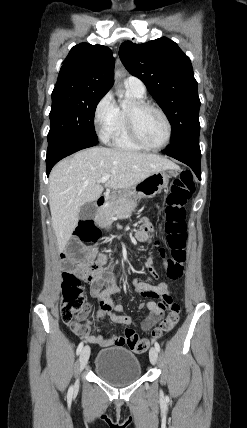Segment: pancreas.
Returning <instances> with one entry per match:
<instances>
[{
    "mask_svg": "<svg viewBox=\"0 0 247 428\" xmlns=\"http://www.w3.org/2000/svg\"><path fill=\"white\" fill-rule=\"evenodd\" d=\"M138 205L136 199L130 198L127 193L120 191L118 197L106 206L101 208L97 221L101 225L109 224L117 215H125L133 211Z\"/></svg>",
    "mask_w": 247,
    "mask_h": 428,
    "instance_id": "pancreas-1",
    "label": "pancreas"
}]
</instances>
